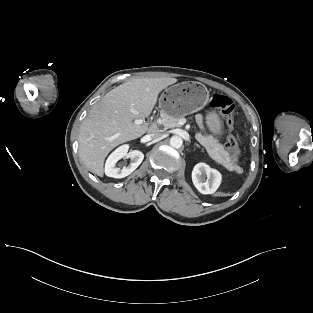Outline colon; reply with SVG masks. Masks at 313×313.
<instances>
[{
  "label": "colon",
  "mask_w": 313,
  "mask_h": 313,
  "mask_svg": "<svg viewBox=\"0 0 313 313\" xmlns=\"http://www.w3.org/2000/svg\"><path fill=\"white\" fill-rule=\"evenodd\" d=\"M210 106L214 109L220 111L226 121V126L228 130V135L226 138V146L231 153V158L233 162H237L240 158V148L238 142L233 134L234 129V113H235V103L228 96L221 94H214L210 101Z\"/></svg>",
  "instance_id": "1"
}]
</instances>
